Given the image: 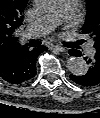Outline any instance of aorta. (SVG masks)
Wrapping results in <instances>:
<instances>
[{
    "mask_svg": "<svg viewBox=\"0 0 100 118\" xmlns=\"http://www.w3.org/2000/svg\"><path fill=\"white\" fill-rule=\"evenodd\" d=\"M57 4V0H36L37 9L44 13L53 11ZM67 67L76 76L85 75L88 71V65L81 57H70L67 61Z\"/></svg>",
    "mask_w": 100,
    "mask_h": 118,
    "instance_id": "762f6f07",
    "label": "aorta"
}]
</instances>
